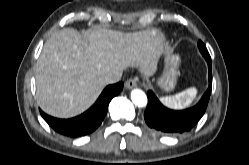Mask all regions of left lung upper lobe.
Masks as SVG:
<instances>
[{"instance_id":"1","label":"left lung upper lobe","mask_w":249,"mask_h":165,"mask_svg":"<svg viewBox=\"0 0 249 165\" xmlns=\"http://www.w3.org/2000/svg\"><path fill=\"white\" fill-rule=\"evenodd\" d=\"M198 48H199L201 54L206 59V61H211V57H210V55L208 53V50H207L206 46L200 40L198 41Z\"/></svg>"}]
</instances>
